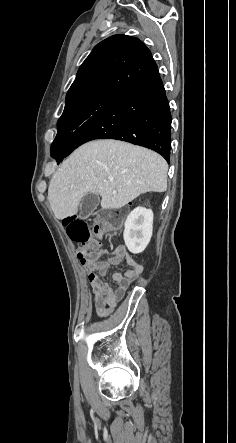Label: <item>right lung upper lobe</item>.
Returning a JSON list of instances; mask_svg holds the SVG:
<instances>
[{"instance_id": "1", "label": "right lung upper lobe", "mask_w": 236, "mask_h": 443, "mask_svg": "<svg viewBox=\"0 0 236 443\" xmlns=\"http://www.w3.org/2000/svg\"><path fill=\"white\" fill-rule=\"evenodd\" d=\"M155 61L139 39L113 35L95 46L66 95L68 108L98 94H116L136 82Z\"/></svg>"}]
</instances>
